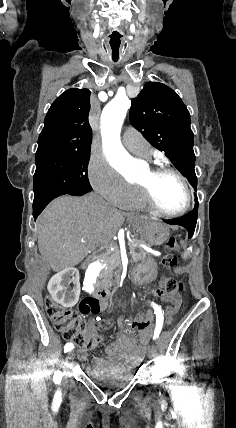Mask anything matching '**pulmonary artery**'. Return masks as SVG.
I'll list each match as a JSON object with an SVG mask.
<instances>
[{
    "mask_svg": "<svg viewBox=\"0 0 236 428\" xmlns=\"http://www.w3.org/2000/svg\"><path fill=\"white\" fill-rule=\"evenodd\" d=\"M126 147L128 150H130L131 152L143 156V157H149L150 155V150L149 147L147 145H137L135 143L132 142H127L126 143Z\"/></svg>",
    "mask_w": 236,
    "mask_h": 428,
    "instance_id": "1",
    "label": "pulmonary artery"
}]
</instances>
